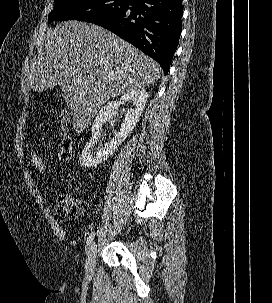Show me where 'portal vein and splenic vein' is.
I'll list each match as a JSON object with an SVG mask.
<instances>
[{
  "label": "portal vein and splenic vein",
  "mask_w": 272,
  "mask_h": 303,
  "mask_svg": "<svg viewBox=\"0 0 272 303\" xmlns=\"http://www.w3.org/2000/svg\"><path fill=\"white\" fill-rule=\"evenodd\" d=\"M78 82H79V83H81V82H82V80H78Z\"/></svg>",
  "instance_id": "obj_1"
}]
</instances>
